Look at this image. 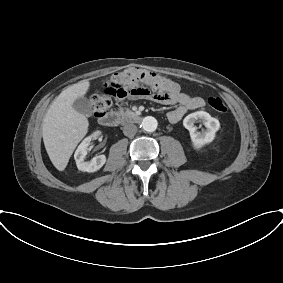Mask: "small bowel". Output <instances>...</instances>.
Instances as JSON below:
<instances>
[{"instance_id": "c3829d8e", "label": "small bowel", "mask_w": 283, "mask_h": 283, "mask_svg": "<svg viewBox=\"0 0 283 283\" xmlns=\"http://www.w3.org/2000/svg\"><path fill=\"white\" fill-rule=\"evenodd\" d=\"M172 90L167 93V98L161 100L156 97H148L147 99L153 100L155 102L163 103V104H178L177 108L170 111L167 114L168 120L171 123L179 122L183 116L189 111L202 107L204 105V100L201 97L190 96L184 92H182L180 86L171 80ZM139 97H135L132 95H128L125 98L118 99L119 101H123L125 99L134 100Z\"/></svg>"}]
</instances>
